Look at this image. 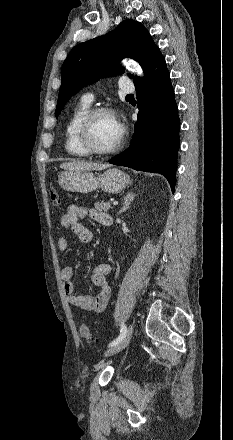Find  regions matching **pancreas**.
Here are the masks:
<instances>
[{"instance_id": "cf45deb5", "label": "pancreas", "mask_w": 233, "mask_h": 440, "mask_svg": "<svg viewBox=\"0 0 233 440\" xmlns=\"http://www.w3.org/2000/svg\"><path fill=\"white\" fill-rule=\"evenodd\" d=\"M95 208H96L98 211H105V212H107V211H109L112 207H111V205H110V202H104V201H101V202H97V203H95Z\"/></svg>"}]
</instances>
